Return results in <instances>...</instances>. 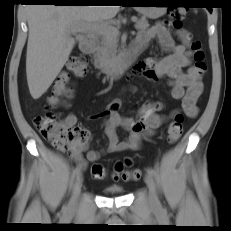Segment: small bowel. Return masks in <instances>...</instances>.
<instances>
[{
    "instance_id": "obj_1",
    "label": "small bowel",
    "mask_w": 231,
    "mask_h": 231,
    "mask_svg": "<svg viewBox=\"0 0 231 231\" xmlns=\"http://www.w3.org/2000/svg\"><path fill=\"white\" fill-rule=\"evenodd\" d=\"M177 35L180 43H176L171 32L162 22L156 23L147 31L140 33L135 41L134 50L146 48L149 43L156 39L161 49L167 53L161 59L148 58L139 62L134 71L148 80L156 81L160 78H169L171 95L173 99L182 103V109L188 117H196L198 114L197 101L203 91L201 74L191 66L190 59V37L186 30H179ZM121 100H112L100 116H105V131L108 137V153L138 150L142 139L157 130L166 120L161 114L163 103L160 101H147L139 109L138 116L124 117L119 113ZM174 112L172 115H174ZM62 122L73 127L77 122L75 114H68ZM121 128L126 131L127 136L119 140L117 130ZM89 135L84 140L73 144L68 149L73 162L85 169L90 162L99 160L101 153L88 150ZM65 151L63 149H59ZM87 151L86 159L83 153Z\"/></svg>"
}]
</instances>
